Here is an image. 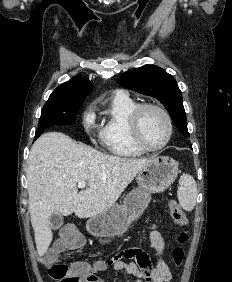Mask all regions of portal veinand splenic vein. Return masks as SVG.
<instances>
[{
    "instance_id": "1",
    "label": "portal vein and splenic vein",
    "mask_w": 232,
    "mask_h": 282,
    "mask_svg": "<svg viewBox=\"0 0 232 282\" xmlns=\"http://www.w3.org/2000/svg\"><path fill=\"white\" fill-rule=\"evenodd\" d=\"M86 185H87V183L85 181H80V182H78L77 187L80 188V189H83V188L86 187Z\"/></svg>"
}]
</instances>
